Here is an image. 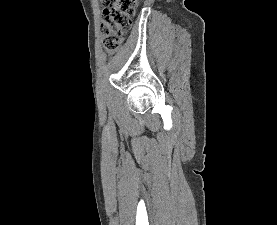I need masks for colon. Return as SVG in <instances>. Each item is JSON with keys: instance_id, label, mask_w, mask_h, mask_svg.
I'll use <instances>...</instances> for the list:
<instances>
[{"instance_id": "1", "label": "colon", "mask_w": 277, "mask_h": 225, "mask_svg": "<svg viewBox=\"0 0 277 225\" xmlns=\"http://www.w3.org/2000/svg\"><path fill=\"white\" fill-rule=\"evenodd\" d=\"M137 0H103V14L100 21L102 47L106 51L116 50L121 35L131 25Z\"/></svg>"}]
</instances>
